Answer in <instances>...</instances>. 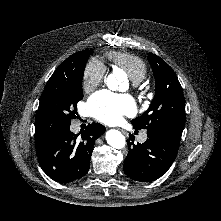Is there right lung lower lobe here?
<instances>
[{"mask_svg": "<svg viewBox=\"0 0 221 221\" xmlns=\"http://www.w3.org/2000/svg\"><path fill=\"white\" fill-rule=\"evenodd\" d=\"M105 132L101 124H89L79 134L70 131V126L45 134L40 148L36 149L42 170L59 183H68L82 178L89 170L95 140Z\"/></svg>", "mask_w": 221, "mask_h": 221, "instance_id": "98d812e1", "label": "right lung lower lobe"}]
</instances>
